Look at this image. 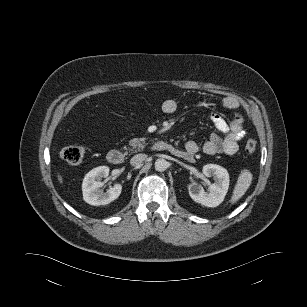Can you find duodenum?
<instances>
[{
    "instance_id": "410a0bca",
    "label": "duodenum",
    "mask_w": 307,
    "mask_h": 307,
    "mask_svg": "<svg viewBox=\"0 0 307 307\" xmlns=\"http://www.w3.org/2000/svg\"><path fill=\"white\" fill-rule=\"evenodd\" d=\"M151 149L154 151H166V152H171L175 153V148L165 142V141H155L151 145ZM107 161L112 164V165H121L124 161V155L121 151L112 149L107 153Z\"/></svg>"
}]
</instances>
